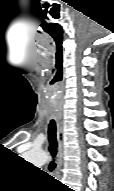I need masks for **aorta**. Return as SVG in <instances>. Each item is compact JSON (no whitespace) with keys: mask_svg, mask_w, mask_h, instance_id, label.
<instances>
[{"mask_svg":"<svg viewBox=\"0 0 114 191\" xmlns=\"http://www.w3.org/2000/svg\"><path fill=\"white\" fill-rule=\"evenodd\" d=\"M47 158V154L43 151L31 150L25 154V159L36 166H42Z\"/></svg>","mask_w":114,"mask_h":191,"instance_id":"aorta-1","label":"aorta"}]
</instances>
